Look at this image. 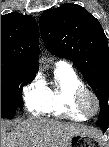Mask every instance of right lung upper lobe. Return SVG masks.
Segmentation results:
<instances>
[{"label": "right lung upper lobe", "instance_id": "1", "mask_svg": "<svg viewBox=\"0 0 109 147\" xmlns=\"http://www.w3.org/2000/svg\"><path fill=\"white\" fill-rule=\"evenodd\" d=\"M39 29L30 15L9 13L1 16V62L38 71Z\"/></svg>", "mask_w": 109, "mask_h": 147}]
</instances>
